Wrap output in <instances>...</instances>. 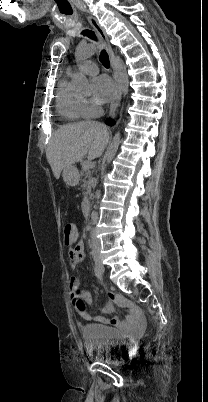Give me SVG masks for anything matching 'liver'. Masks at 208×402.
<instances>
[{
  "instance_id": "6515ba94",
  "label": "liver",
  "mask_w": 208,
  "mask_h": 402,
  "mask_svg": "<svg viewBox=\"0 0 208 402\" xmlns=\"http://www.w3.org/2000/svg\"><path fill=\"white\" fill-rule=\"evenodd\" d=\"M109 140L104 124L97 122H80L62 126L54 132L46 150L51 170L59 180L64 168L73 166L88 154V160L100 158Z\"/></svg>"
}]
</instances>
